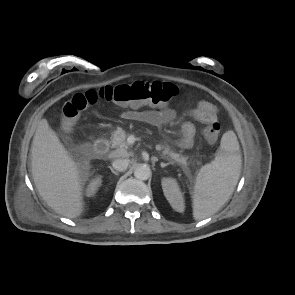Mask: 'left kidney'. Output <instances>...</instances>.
<instances>
[{
	"mask_svg": "<svg viewBox=\"0 0 295 295\" xmlns=\"http://www.w3.org/2000/svg\"><path fill=\"white\" fill-rule=\"evenodd\" d=\"M162 189L172 208L183 212L185 209L184 198L177 181L174 178H163Z\"/></svg>",
	"mask_w": 295,
	"mask_h": 295,
	"instance_id": "obj_1",
	"label": "left kidney"
}]
</instances>
